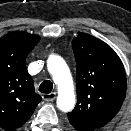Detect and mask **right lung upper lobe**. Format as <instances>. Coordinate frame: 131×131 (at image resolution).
<instances>
[{
  "label": "right lung upper lobe",
  "mask_w": 131,
  "mask_h": 131,
  "mask_svg": "<svg viewBox=\"0 0 131 131\" xmlns=\"http://www.w3.org/2000/svg\"><path fill=\"white\" fill-rule=\"evenodd\" d=\"M39 36L15 31L0 39V127L12 131L33 114L42 98L35 93L25 59Z\"/></svg>",
  "instance_id": "right-lung-upper-lobe-1"
}]
</instances>
